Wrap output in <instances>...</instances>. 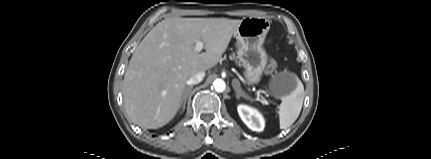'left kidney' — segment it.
I'll return each instance as SVG.
<instances>
[{"label":"left kidney","instance_id":"obj_1","mask_svg":"<svg viewBox=\"0 0 431 159\" xmlns=\"http://www.w3.org/2000/svg\"><path fill=\"white\" fill-rule=\"evenodd\" d=\"M238 114L242 121L253 131H263L265 121L262 115L254 108L247 105H239L237 107Z\"/></svg>","mask_w":431,"mask_h":159}]
</instances>
